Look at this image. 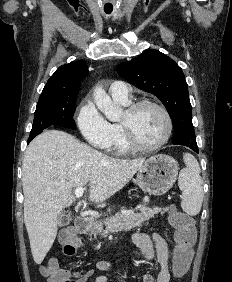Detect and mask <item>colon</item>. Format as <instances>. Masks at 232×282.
I'll use <instances>...</instances> for the list:
<instances>
[{"instance_id":"5ec220e1","label":"colon","mask_w":232,"mask_h":282,"mask_svg":"<svg viewBox=\"0 0 232 282\" xmlns=\"http://www.w3.org/2000/svg\"><path fill=\"white\" fill-rule=\"evenodd\" d=\"M169 222L174 228L175 247L173 249V273L177 277L184 276L192 258V247L196 241V229L193 219L185 213L172 207ZM65 255L75 254L82 246L81 239L72 231L64 230L60 238ZM57 262L49 259L40 265L41 274L48 276L55 282H73L69 277L61 274Z\"/></svg>"}]
</instances>
